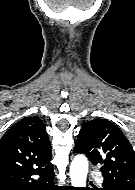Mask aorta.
Masks as SVG:
<instances>
[{"mask_svg": "<svg viewBox=\"0 0 135 190\" xmlns=\"http://www.w3.org/2000/svg\"><path fill=\"white\" fill-rule=\"evenodd\" d=\"M88 173V160L84 155H77L70 165V178L73 187H85Z\"/></svg>", "mask_w": 135, "mask_h": 190, "instance_id": "1", "label": "aorta"}]
</instances>
